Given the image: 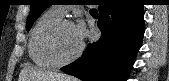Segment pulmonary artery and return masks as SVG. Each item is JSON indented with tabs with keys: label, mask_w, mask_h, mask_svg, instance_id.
Masks as SVG:
<instances>
[{
	"label": "pulmonary artery",
	"mask_w": 169,
	"mask_h": 81,
	"mask_svg": "<svg viewBox=\"0 0 169 81\" xmlns=\"http://www.w3.org/2000/svg\"><path fill=\"white\" fill-rule=\"evenodd\" d=\"M52 10H54L57 14L62 17L67 13V9L63 6H54L52 7Z\"/></svg>",
	"instance_id": "e3ab8cb5"
}]
</instances>
